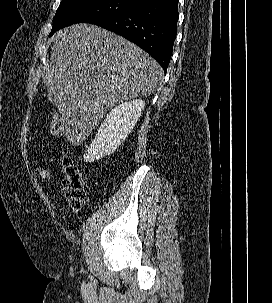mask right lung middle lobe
Here are the masks:
<instances>
[{
	"label": "right lung middle lobe",
	"instance_id": "right-lung-middle-lobe-1",
	"mask_svg": "<svg viewBox=\"0 0 272 303\" xmlns=\"http://www.w3.org/2000/svg\"><path fill=\"white\" fill-rule=\"evenodd\" d=\"M137 5L134 0H62L56 11L50 36L66 26L76 23L92 24Z\"/></svg>",
	"mask_w": 272,
	"mask_h": 303
}]
</instances>
